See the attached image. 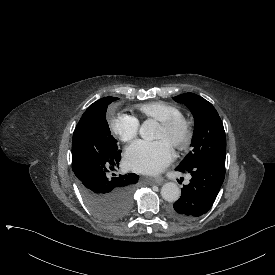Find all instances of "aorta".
Masks as SVG:
<instances>
[{"label":"aorta","instance_id":"1","mask_svg":"<svg viewBox=\"0 0 275 275\" xmlns=\"http://www.w3.org/2000/svg\"><path fill=\"white\" fill-rule=\"evenodd\" d=\"M159 123L153 119L143 122L139 129L140 136L144 140L152 141L159 137ZM162 198L168 202H175L181 195V190L174 182L165 183L161 188Z\"/></svg>","mask_w":275,"mask_h":275}]
</instances>
